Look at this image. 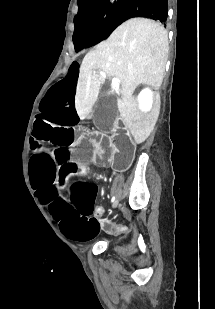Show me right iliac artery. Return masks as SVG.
Instances as JSON below:
<instances>
[{
    "label": "right iliac artery",
    "mask_w": 215,
    "mask_h": 309,
    "mask_svg": "<svg viewBox=\"0 0 215 309\" xmlns=\"http://www.w3.org/2000/svg\"><path fill=\"white\" fill-rule=\"evenodd\" d=\"M115 201V196L112 197L111 202L113 203ZM116 202V201H115ZM114 202V203H115Z\"/></svg>",
    "instance_id": "obj_1"
}]
</instances>
